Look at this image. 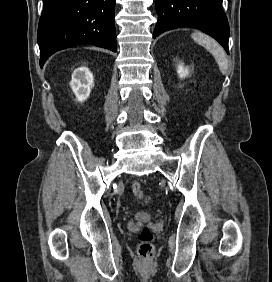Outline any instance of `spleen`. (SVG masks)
Returning a JSON list of instances; mask_svg holds the SVG:
<instances>
[{"label": "spleen", "instance_id": "spleen-1", "mask_svg": "<svg viewBox=\"0 0 272 282\" xmlns=\"http://www.w3.org/2000/svg\"><path fill=\"white\" fill-rule=\"evenodd\" d=\"M191 37L196 43L203 46L214 56L221 73L226 74L228 62L223 48L215 40L203 33L195 32L191 35Z\"/></svg>", "mask_w": 272, "mask_h": 282}]
</instances>
